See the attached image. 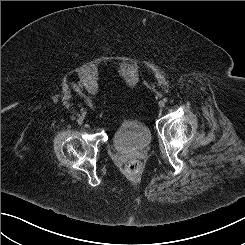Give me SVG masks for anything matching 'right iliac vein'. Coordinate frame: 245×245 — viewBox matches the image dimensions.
<instances>
[{"instance_id": "63e3f726", "label": "right iliac vein", "mask_w": 245, "mask_h": 245, "mask_svg": "<svg viewBox=\"0 0 245 245\" xmlns=\"http://www.w3.org/2000/svg\"><path fill=\"white\" fill-rule=\"evenodd\" d=\"M77 124L82 125L83 124V120L81 118H78L77 119Z\"/></svg>"}]
</instances>
